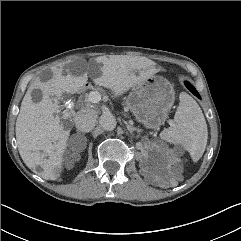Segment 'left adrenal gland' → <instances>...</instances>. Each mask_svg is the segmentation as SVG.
Instances as JSON below:
<instances>
[{"label": "left adrenal gland", "instance_id": "1", "mask_svg": "<svg viewBox=\"0 0 241 241\" xmlns=\"http://www.w3.org/2000/svg\"><path fill=\"white\" fill-rule=\"evenodd\" d=\"M127 129L129 130V132L132 134L134 131H137V132H140L141 130L136 128V127H133L131 125H128L127 124Z\"/></svg>", "mask_w": 241, "mask_h": 241}]
</instances>
